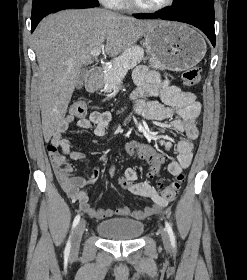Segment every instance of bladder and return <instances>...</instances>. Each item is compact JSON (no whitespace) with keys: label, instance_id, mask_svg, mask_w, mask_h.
I'll list each match as a JSON object with an SVG mask.
<instances>
[{"label":"bladder","instance_id":"bladder-1","mask_svg":"<svg viewBox=\"0 0 247 280\" xmlns=\"http://www.w3.org/2000/svg\"><path fill=\"white\" fill-rule=\"evenodd\" d=\"M97 232L110 240H134L144 231V224L131 218H111L100 222Z\"/></svg>","mask_w":247,"mask_h":280}]
</instances>
